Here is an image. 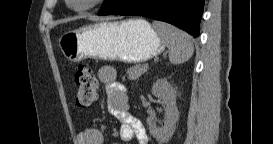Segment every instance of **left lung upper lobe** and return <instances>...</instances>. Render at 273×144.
<instances>
[{"mask_svg":"<svg viewBox=\"0 0 273 144\" xmlns=\"http://www.w3.org/2000/svg\"><path fill=\"white\" fill-rule=\"evenodd\" d=\"M112 1H113V0H106V1L104 2V4L102 5L100 11L104 10Z\"/></svg>","mask_w":273,"mask_h":144,"instance_id":"obj_1","label":"left lung upper lobe"}]
</instances>
